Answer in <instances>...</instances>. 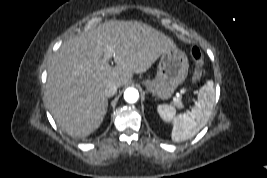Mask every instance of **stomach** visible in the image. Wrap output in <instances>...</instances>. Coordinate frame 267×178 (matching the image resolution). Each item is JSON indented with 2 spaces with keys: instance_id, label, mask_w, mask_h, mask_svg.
I'll list each match as a JSON object with an SVG mask.
<instances>
[{
  "instance_id": "0dacf381",
  "label": "stomach",
  "mask_w": 267,
  "mask_h": 178,
  "mask_svg": "<svg viewBox=\"0 0 267 178\" xmlns=\"http://www.w3.org/2000/svg\"><path fill=\"white\" fill-rule=\"evenodd\" d=\"M188 68L186 54L176 46L169 48L161 54L155 79L143 80L142 84L153 95L168 99L186 79Z\"/></svg>"
}]
</instances>
